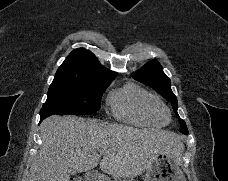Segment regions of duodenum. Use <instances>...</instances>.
Wrapping results in <instances>:
<instances>
[{
    "label": "duodenum",
    "instance_id": "duodenum-1",
    "mask_svg": "<svg viewBox=\"0 0 228 181\" xmlns=\"http://www.w3.org/2000/svg\"><path fill=\"white\" fill-rule=\"evenodd\" d=\"M87 181H100L99 174H95V172H86Z\"/></svg>",
    "mask_w": 228,
    "mask_h": 181
}]
</instances>
